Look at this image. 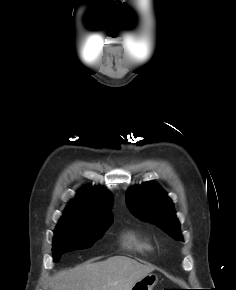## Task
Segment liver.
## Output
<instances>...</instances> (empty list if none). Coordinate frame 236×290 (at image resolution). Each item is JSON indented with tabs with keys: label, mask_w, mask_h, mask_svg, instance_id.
Instances as JSON below:
<instances>
[{
	"label": "liver",
	"mask_w": 236,
	"mask_h": 290,
	"mask_svg": "<svg viewBox=\"0 0 236 290\" xmlns=\"http://www.w3.org/2000/svg\"><path fill=\"white\" fill-rule=\"evenodd\" d=\"M155 268L126 256H114L105 261L85 262L63 270L51 278V290H130Z\"/></svg>",
	"instance_id": "obj_1"
}]
</instances>
